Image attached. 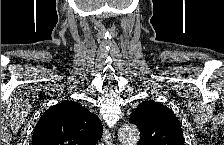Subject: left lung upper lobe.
Returning a JSON list of instances; mask_svg holds the SVG:
<instances>
[{"label":"left lung upper lobe","instance_id":"left-lung-upper-lobe-1","mask_svg":"<svg viewBox=\"0 0 224 145\" xmlns=\"http://www.w3.org/2000/svg\"><path fill=\"white\" fill-rule=\"evenodd\" d=\"M130 123L139 128L138 145H184L178 119L171 110L158 102H142L131 114Z\"/></svg>","mask_w":224,"mask_h":145}]
</instances>
